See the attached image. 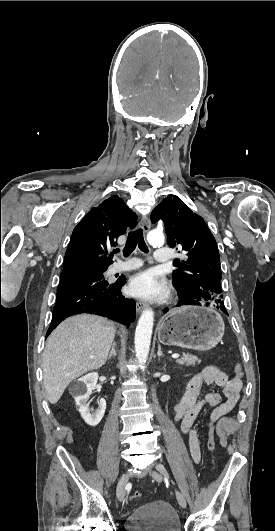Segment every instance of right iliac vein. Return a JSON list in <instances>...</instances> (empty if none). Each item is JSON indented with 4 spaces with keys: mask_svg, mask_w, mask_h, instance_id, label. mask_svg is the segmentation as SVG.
Segmentation results:
<instances>
[{
    "mask_svg": "<svg viewBox=\"0 0 275 531\" xmlns=\"http://www.w3.org/2000/svg\"><path fill=\"white\" fill-rule=\"evenodd\" d=\"M128 484V475L127 474H124L118 484H117V488H116V495L118 497V499L120 501H123L124 498H125V489H126V485Z\"/></svg>",
    "mask_w": 275,
    "mask_h": 531,
    "instance_id": "63e3f726",
    "label": "right iliac vein"
}]
</instances>
